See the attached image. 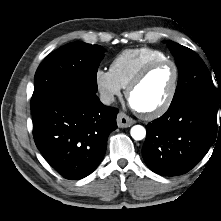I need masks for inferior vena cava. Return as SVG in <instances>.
Listing matches in <instances>:
<instances>
[{
    "mask_svg": "<svg viewBox=\"0 0 221 221\" xmlns=\"http://www.w3.org/2000/svg\"><path fill=\"white\" fill-rule=\"evenodd\" d=\"M100 101L104 105H110L111 103L115 101V98H114V95L109 92H102L100 94Z\"/></svg>",
    "mask_w": 221,
    "mask_h": 221,
    "instance_id": "1",
    "label": "inferior vena cava"
}]
</instances>
